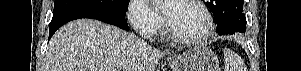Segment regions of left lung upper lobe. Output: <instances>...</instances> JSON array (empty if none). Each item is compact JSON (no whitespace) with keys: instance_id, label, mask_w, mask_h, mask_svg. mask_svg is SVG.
<instances>
[{"instance_id":"1","label":"left lung upper lobe","mask_w":301,"mask_h":71,"mask_svg":"<svg viewBox=\"0 0 301 71\" xmlns=\"http://www.w3.org/2000/svg\"><path fill=\"white\" fill-rule=\"evenodd\" d=\"M204 1V0H203ZM214 19L218 20L228 11H243V0H205Z\"/></svg>"}]
</instances>
